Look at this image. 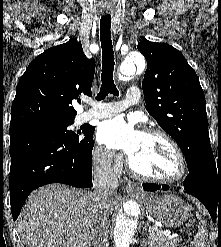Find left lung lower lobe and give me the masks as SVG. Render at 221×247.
I'll list each match as a JSON object with an SVG mask.
<instances>
[{
  "instance_id": "obj_1",
  "label": "left lung lower lobe",
  "mask_w": 221,
  "mask_h": 247,
  "mask_svg": "<svg viewBox=\"0 0 221 247\" xmlns=\"http://www.w3.org/2000/svg\"><path fill=\"white\" fill-rule=\"evenodd\" d=\"M189 174L183 182L184 189L197 197L208 209L213 222L221 220V163L216 165L212 149L198 155L188 164ZM146 191L168 190L169 186L143 184Z\"/></svg>"
}]
</instances>
